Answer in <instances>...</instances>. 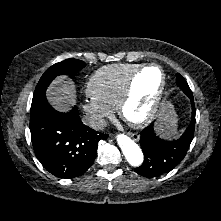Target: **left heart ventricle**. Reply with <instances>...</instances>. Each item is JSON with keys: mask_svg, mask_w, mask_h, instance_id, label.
Masks as SVG:
<instances>
[{"mask_svg": "<svg viewBox=\"0 0 221 221\" xmlns=\"http://www.w3.org/2000/svg\"><path fill=\"white\" fill-rule=\"evenodd\" d=\"M160 82L161 75L156 68H149L137 77L133 99L126 109V114L130 119L138 120L148 113Z\"/></svg>", "mask_w": 221, "mask_h": 221, "instance_id": "b2bd125f", "label": "left heart ventricle"}]
</instances>
